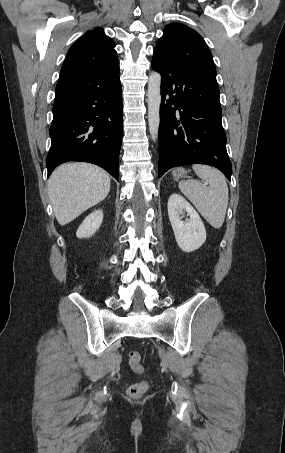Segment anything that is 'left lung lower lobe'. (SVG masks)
Wrapping results in <instances>:
<instances>
[{
  "mask_svg": "<svg viewBox=\"0 0 285 453\" xmlns=\"http://www.w3.org/2000/svg\"><path fill=\"white\" fill-rule=\"evenodd\" d=\"M151 66L162 77L158 176L172 167L199 163L218 168L230 180L219 87L156 53Z\"/></svg>",
  "mask_w": 285,
  "mask_h": 453,
  "instance_id": "obj_1",
  "label": "left lung lower lobe"
}]
</instances>
